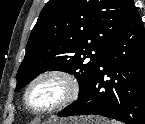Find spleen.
I'll return each mask as SVG.
<instances>
[{"instance_id":"obj_1","label":"spleen","mask_w":145,"mask_h":124,"mask_svg":"<svg viewBox=\"0 0 145 124\" xmlns=\"http://www.w3.org/2000/svg\"><path fill=\"white\" fill-rule=\"evenodd\" d=\"M111 124H120V123H118V122H112Z\"/></svg>"}]
</instances>
